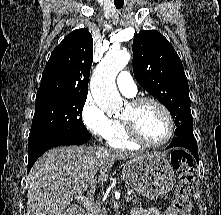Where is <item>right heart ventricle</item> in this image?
I'll return each mask as SVG.
<instances>
[{
  "mask_svg": "<svg viewBox=\"0 0 221 215\" xmlns=\"http://www.w3.org/2000/svg\"><path fill=\"white\" fill-rule=\"evenodd\" d=\"M113 132L106 138L111 147L125 150H134L139 148V144L135 143L127 134L125 126L120 119L113 120Z\"/></svg>",
  "mask_w": 221,
  "mask_h": 215,
  "instance_id": "1",
  "label": "right heart ventricle"
}]
</instances>
